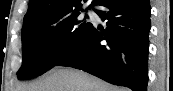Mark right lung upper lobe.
<instances>
[{"instance_id":"right-lung-upper-lobe-1","label":"right lung upper lobe","mask_w":173,"mask_h":91,"mask_svg":"<svg viewBox=\"0 0 173 91\" xmlns=\"http://www.w3.org/2000/svg\"><path fill=\"white\" fill-rule=\"evenodd\" d=\"M97 2L98 0H93L91 6H94ZM81 7V0H29V8L24 16L23 28L67 16L80 11Z\"/></svg>"}]
</instances>
